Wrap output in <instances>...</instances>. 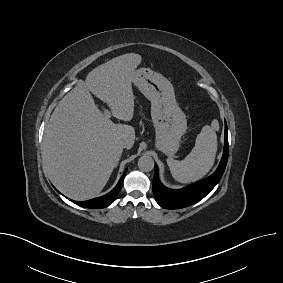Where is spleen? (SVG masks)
Here are the masks:
<instances>
[{
    "label": "spleen",
    "mask_w": 283,
    "mask_h": 283,
    "mask_svg": "<svg viewBox=\"0 0 283 283\" xmlns=\"http://www.w3.org/2000/svg\"><path fill=\"white\" fill-rule=\"evenodd\" d=\"M218 120L205 125L195 140V146L182 161L167 159L173 178L180 183H190L204 177L214 165L217 152Z\"/></svg>",
    "instance_id": "3e777b00"
}]
</instances>
